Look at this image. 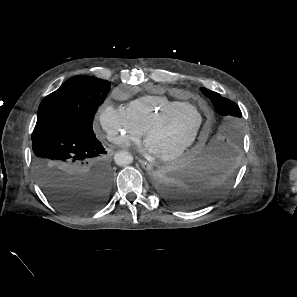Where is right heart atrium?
<instances>
[{"mask_svg":"<svg viewBox=\"0 0 297 297\" xmlns=\"http://www.w3.org/2000/svg\"><path fill=\"white\" fill-rule=\"evenodd\" d=\"M96 120L105 138L120 147L130 146L142 135L126 111L111 103H105L98 109Z\"/></svg>","mask_w":297,"mask_h":297,"instance_id":"d8ad5b80","label":"right heart atrium"}]
</instances>
